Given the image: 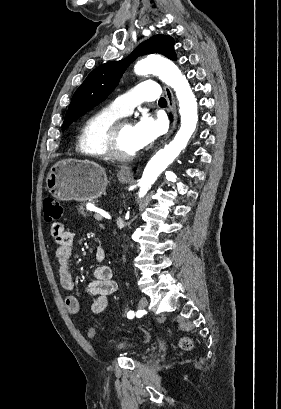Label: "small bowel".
<instances>
[{
  "instance_id": "1",
  "label": "small bowel",
  "mask_w": 281,
  "mask_h": 409,
  "mask_svg": "<svg viewBox=\"0 0 281 409\" xmlns=\"http://www.w3.org/2000/svg\"><path fill=\"white\" fill-rule=\"evenodd\" d=\"M51 234L57 243L56 259L59 264V281L64 290L74 288V279L70 270V261L73 246V234L62 223H54L51 227ZM94 257L101 262L106 258L105 248L98 244L94 249ZM94 279L88 285V293L96 300L93 304V311L96 314L102 313L107 307V299L117 291V283L113 279V270L107 265H99L94 269ZM65 306L69 313L77 314L80 311V302L75 296H68L65 299Z\"/></svg>"
}]
</instances>
